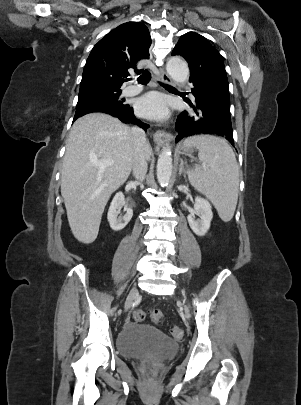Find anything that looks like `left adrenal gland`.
<instances>
[{
	"instance_id": "obj_1",
	"label": "left adrenal gland",
	"mask_w": 301,
	"mask_h": 405,
	"mask_svg": "<svg viewBox=\"0 0 301 405\" xmlns=\"http://www.w3.org/2000/svg\"><path fill=\"white\" fill-rule=\"evenodd\" d=\"M184 163H183V160L182 159H180V165H179V176H181V174H184V176H185V174H186V170H185V168H184V165H183Z\"/></svg>"
}]
</instances>
